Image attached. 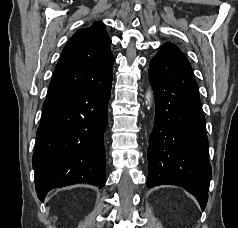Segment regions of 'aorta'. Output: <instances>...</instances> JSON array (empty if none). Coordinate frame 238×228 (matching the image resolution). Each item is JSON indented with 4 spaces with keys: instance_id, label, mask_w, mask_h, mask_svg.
Returning a JSON list of instances; mask_svg holds the SVG:
<instances>
[{
    "instance_id": "1",
    "label": "aorta",
    "mask_w": 238,
    "mask_h": 228,
    "mask_svg": "<svg viewBox=\"0 0 238 228\" xmlns=\"http://www.w3.org/2000/svg\"><path fill=\"white\" fill-rule=\"evenodd\" d=\"M146 98H147V101L149 102L150 101V94L149 93L147 94Z\"/></svg>"
}]
</instances>
